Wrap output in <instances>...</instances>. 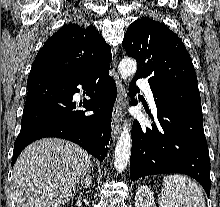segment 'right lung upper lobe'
<instances>
[{"label": "right lung upper lobe", "instance_id": "cb5924a9", "mask_svg": "<svg viewBox=\"0 0 220 207\" xmlns=\"http://www.w3.org/2000/svg\"><path fill=\"white\" fill-rule=\"evenodd\" d=\"M111 61V47L95 26L70 23L44 43L32 64L30 74L50 72L80 76L100 63Z\"/></svg>", "mask_w": 220, "mask_h": 207}]
</instances>
